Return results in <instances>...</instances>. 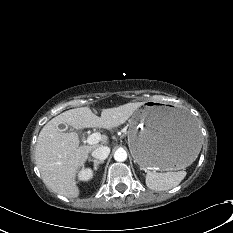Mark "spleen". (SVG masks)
I'll return each mask as SVG.
<instances>
[{
  "label": "spleen",
  "instance_id": "1",
  "mask_svg": "<svg viewBox=\"0 0 233 233\" xmlns=\"http://www.w3.org/2000/svg\"><path fill=\"white\" fill-rule=\"evenodd\" d=\"M185 175V171L166 173L149 171L146 175V185L155 191L169 190L179 185Z\"/></svg>",
  "mask_w": 233,
  "mask_h": 233
}]
</instances>
